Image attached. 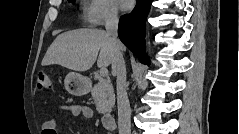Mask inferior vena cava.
<instances>
[{"instance_id":"602c4592","label":"inferior vena cava","mask_w":239,"mask_h":134,"mask_svg":"<svg viewBox=\"0 0 239 134\" xmlns=\"http://www.w3.org/2000/svg\"><path fill=\"white\" fill-rule=\"evenodd\" d=\"M106 32L110 36L114 47V60L112 62V74L116 76L118 127L119 134H130V104L126 92V65L121 52V42L118 39V14L115 8L109 10L105 24Z\"/></svg>"}]
</instances>
